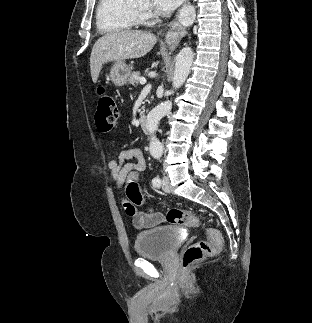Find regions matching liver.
Returning <instances> with one entry per match:
<instances>
[{
	"instance_id": "liver-1",
	"label": "liver",
	"mask_w": 312,
	"mask_h": 323,
	"mask_svg": "<svg viewBox=\"0 0 312 323\" xmlns=\"http://www.w3.org/2000/svg\"><path fill=\"white\" fill-rule=\"evenodd\" d=\"M157 38L148 32H108L95 42L90 56L92 82L96 84L103 64L123 62L146 56L156 44Z\"/></svg>"
}]
</instances>
